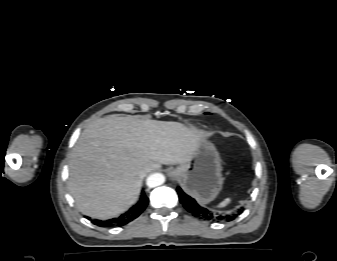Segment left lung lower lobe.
I'll return each mask as SVG.
<instances>
[{
    "instance_id": "1",
    "label": "left lung lower lobe",
    "mask_w": 337,
    "mask_h": 261,
    "mask_svg": "<svg viewBox=\"0 0 337 261\" xmlns=\"http://www.w3.org/2000/svg\"><path fill=\"white\" fill-rule=\"evenodd\" d=\"M180 202L183 204L186 210H188L193 216L206 220V221H231L234 220L237 214H219L213 213L206 208L199 206L196 201L185 194L180 187L177 188ZM243 210H239L238 213H242Z\"/></svg>"
}]
</instances>
